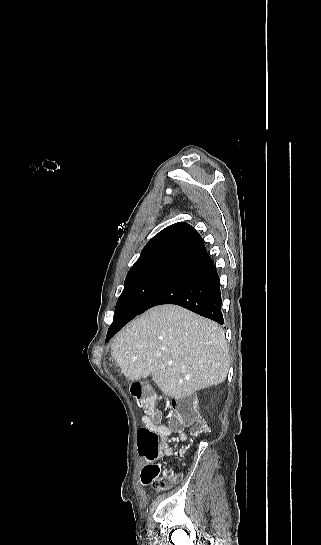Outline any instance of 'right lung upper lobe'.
<instances>
[{
    "label": "right lung upper lobe",
    "mask_w": 321,
    "mask_h": 545,
    "mask_svg": "<svg viewBox=\"0 0 321 545\" xmlns=\"http://www.w3.org/2000/svg\"><path fill=\"white\" fill-rule=\"evenodd\" d=\"M205 249L199 233L187 223H175L153 237L131 270L169 266L178 268Z\"/></svg>",
    "instance_id": "right-lung-upper-lobe-1"
}]
</instances>
